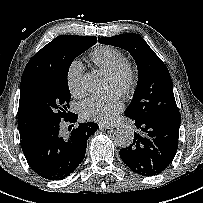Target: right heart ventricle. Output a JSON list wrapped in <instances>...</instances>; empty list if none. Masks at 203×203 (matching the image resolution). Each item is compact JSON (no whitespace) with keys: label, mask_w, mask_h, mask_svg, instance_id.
I'll return each mask as SVG.
<instances>
[{"label":"right heart ventricle","mask_w":203,"mask_h":203,"mask_svg":"<svg viewBox=\"0 0 203 203\" xmlns=\"http://www.w3.org/2000/svg\"><path fill=\"white\" fill-rule=\"evenodd\" d=\"M90 59L95 65L107 73L126 60L122 51L110 46L95 48L90 53Z\"/></svg>","instance_id":"e07e8e85"}]
</instances>
